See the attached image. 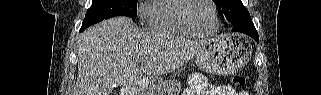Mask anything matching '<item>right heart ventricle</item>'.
<instances>
[{
    "instance_id": "right-heart-ventricle-1",
    "label": "right heart ventricle",
    "mask_w": 321,
    "mask_h": 95,
    "mask_svg": "<svg viewBox=\"0 0 321 95\" xmlns=\"http://www.w3.org/2000/svg\"><path fill=\"white\" fill-rule=\"evenodd\" d=\"M185 0H154L149 7L148 28L152 31L196 36L179 19V10Z\"/></svg>"
}]
</instances>
